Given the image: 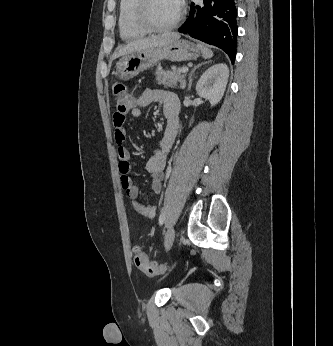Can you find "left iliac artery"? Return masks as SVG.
<instances>
[{
  "mask_svg": "<svg viewBox=\"0 0 333 346\" xmlns=\"http://www.w3.org/2000/svg\"><path fill=\"white\" fill-rule=\"evenodd\" d=\"M165 218H166V213L165 211H163L161 214H160V217H159V224L162 225L165 221Z\"/></svg>",
  "mask_w": 333,
  "mask_h": 346,
  "instance_id": "1",
  "label": "left iliac artery"
}]
</instances>
